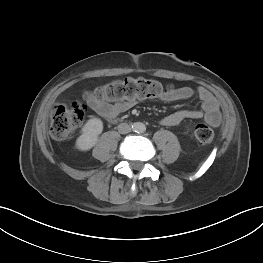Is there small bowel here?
I'll list each match as a JSON object with an SVG mask.
<instances>
[{
	"mask_svg": "<svg viewBox=\"0 0 263 263\" xmlns=\"http://www.w3.org/2000/svg\"><path fill=\"white\" fill-rule=\"evenodd\" d=\"M198 98L201 101V109H182L164 116L160 120L163 126H175L185 119H204L211 126L217 127L221 122V115L216 98L204 87H198L196 90ZM195 94L191 87H180L171 89L164 94L161 99L165 101H178L191 98ZM89 107L100 116L112 120L120 113L125 112L133 106V100H127L110 104L108 101L95 97L92 93L86 97Z\"/></svg>",
	"mask_w": 263,
	"mask_h": 263,
	"instance_id": "small-bowel-1",
	"label": "small bowel"
}]
</instances>
